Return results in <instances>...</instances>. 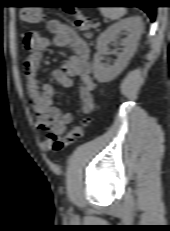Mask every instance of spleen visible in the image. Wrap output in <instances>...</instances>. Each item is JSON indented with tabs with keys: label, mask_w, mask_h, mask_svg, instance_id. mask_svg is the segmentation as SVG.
Masks as SVG:
<instances>
[{
	"label": "spleen",
	"mask_w": 170,
	"mask_h": 231,
	"mask_svg": "<svg viewBox=\"0 0 170 231\" xmlns=\"http://www.w3.org/2000/svg\"><path fill=\"white\" fill-rule=\"evenodd\" d=\"M100 12L104 17L117 20L125 15L126 9L124 7H101Z\"/></svg>",
	"instance_id": "spleen-1"
}]
</instances>
